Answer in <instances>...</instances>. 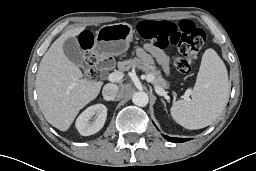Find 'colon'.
Listing matches in <instances>:
<instances>
[{
	"mask_svg": "<svg viewBox=\"0 0 256 171\" xmlns=\"http://www.w3.org/2000/svg\"><path fill=\"white\" fill-rule=\"evenodd\" d=\"M139 35L149 41L150 45L158 49H164L171 45L178 47L180 56L174 61L175 68L188 74L198 53L205 43L206 35L191 20L183 19L178 22L169 20H142L138 23ZM93 36L84 31L80 35V45L84 50L83 60L85 72L91 79L98 77L95 66V55L92 52Z\"/></svg>",
	"mask_w": 256,
	"mask_h": 171,
	"instance_id": "1",
	"label": "colon"
}]
</instances>
